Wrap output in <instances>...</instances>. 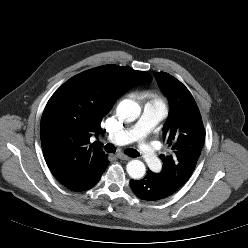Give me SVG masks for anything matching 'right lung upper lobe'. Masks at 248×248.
Returning a JSON list of instances; mask_svg holds the SVG:
<instances>
[{
	"mask_svg": "<svg viewBox=\"0 0 248 248\" xmlns=\"http://www.w3.org/2000/svg\"><path fill=\"white\" fill-rule=\"evenodd\" d=\"M152 77L128 67L105 65L84 71L62 85L42 114L40 137L45 161L54 177L68 187L106 154L92 134L102 133V118L127 90Z\"/></svg>",
	"mask_w": 248,
	"mask_h": 248,
	"instance_id": "right-lung-upper-lobe-1",
	"label": "right lung upper lobe"
}]
</instances>
